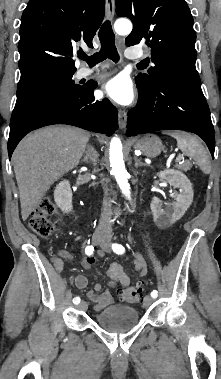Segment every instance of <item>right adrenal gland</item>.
<instances>
[{
	"label": "right adrenal gland",
	"mask_w": 221,
	"mask_h": 379,
	"mask_svg": "<svg viewBox=\"0 0 221 379\" xmlns=\"http://www.w3.org/2000/svg\"><path fill=\"white\" fill-rule=\"evenodd\" d=\"M91 150H92V147H91V146H87L86 155H85L84 158L81 160V162H85L86 164H89V163H90L89 152H90Z\"/></svg>",
	"instance_id": "obj_1"
}]
</instances>
